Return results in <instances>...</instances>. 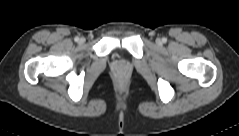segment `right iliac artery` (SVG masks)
<instances>
[{
  "label": "right iliac artery",
  "mask_w": 239,
  "mask_h": 136,
  "mask_svg": "<svg viewBox=\"0 0 239 136\" xmlns=\"http://www.w3.org/2000/svg\"><path fill=\"white\" fill-rule=\"evenodd\" d=\"M76 42H78L79 41V37H75V39H74Z\"/></svg>",
  "instance_id": "obj_1"
}]
</instances>
